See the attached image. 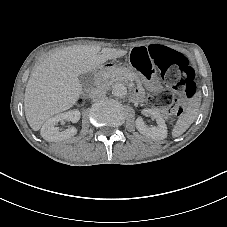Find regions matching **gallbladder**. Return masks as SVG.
<instances>
[{"label": "gallbladder", "mask_w": 227, "mask_h": 227, "mask_svg": "<svg viewBox=\"0 0 227 227\" xmlns=\"http://www.w3.org/2000/svg\"><path fill=\"white\" fill-rule=\"evenodd\" d=\"M83 88H90L94 84L95 73L92 71L83 73L79 76Z\"/></svg>", "instance_id": "gallbladder-1"}]
</instances>
